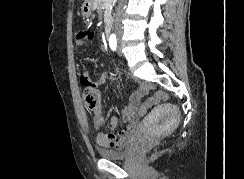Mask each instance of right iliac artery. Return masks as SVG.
<instances>
[{"mask_svg":"<svg viewBox=\"0 0 244 179\" xmlns=\"http://www.w3.org/2000/svg\"><path fill=\"white\" fill-rule=\"evenodd\" d=\"M109 45L110 48L115 51L116 47H117V40H116V36L114 34H112L109 38Z\"/></svg>","mask_w":244,"mask_h":179,"instance_id":"1","label":"right iliac artery"}]
</instances>
